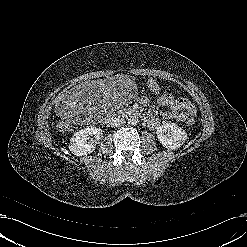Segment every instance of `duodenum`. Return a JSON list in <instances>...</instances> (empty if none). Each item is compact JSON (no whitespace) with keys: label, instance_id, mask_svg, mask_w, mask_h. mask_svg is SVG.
Segmentation results:
<instances>
[{"label":"duodenum","instance_id":"obj_1","mask_svg":"<svg viewBox=\"0 0 247 247\" xmlns=\"http://www.w3.org/2000/svg\"><path fill=\"white\" fill-rule=\"evenodd\" d=\"M125 114L128 116H136L139 114V111L137 109H129ZM121 115H122V113H116V114L108 117L106 119V122H109L111 120H116V119L120 118Z\"/></svg>","mask_w":247,"mask_h":247}]
</instances>
